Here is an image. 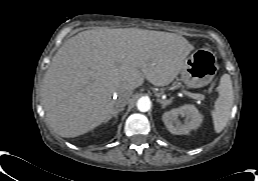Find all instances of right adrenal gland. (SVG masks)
I'll return each instance as SVG.
<instances>
[{"mask_svg": "<svg viewBox=\"0 0 258 181\" xmlns=\"http://www.w3.org/2000/svg\"><path fill=\"white\" fill-rule=\"evenodd\" d=\"M124 110V108H115L114 110H113V113H112V115L109 117V119L108 120H110L111 118H115V120H117V118H118V113L119 112H122Z\"/></svg>", "mask_w": 258, "mask_h": 181, "instance_id": "obj_1", "label": "right adrenal gland"}]
</instances>
